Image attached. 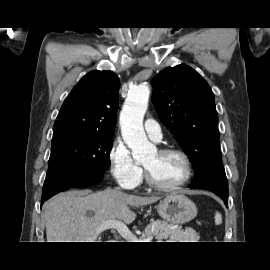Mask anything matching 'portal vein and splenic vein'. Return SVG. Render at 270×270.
<instances>
[{
    "mask_svg": "<svg viewBox=\"0 0 270 270\" xmlns=\"http://www.w3.org/2000/svg\"><path fill=\"white\" fill-rule=\"evenodd\" d=\"M106 229H115L118 233L127 240V242H151L153 237H148L143 240H138L128 227L119 220H108L99 225L97 232L100 233Z\"/></svg>",
    "mask_w": 270,
    "mask_h": 270,
    "instance_id": "portal-vein-and-splenic-vein-1",
    "label": "portal vein and splenic vein"
}]
</instances>
